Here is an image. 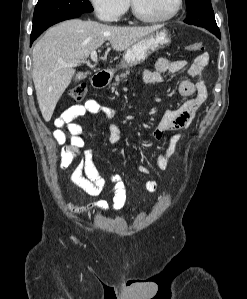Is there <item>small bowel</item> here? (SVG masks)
<instances>
[{"instance_id": "1", "label": "small bowel", "mask_w": 247, "mask_h": 299, "mask_svg": "<svg viewBox=\"0 0 247 299\" xmlns=\"http://www.w3.org/2000/svg\"><path fill=\"white\" fill-rule=\"evenodd\" d=\"M208 62V53L202 52L188 66V75L195 78L196 81L182 80L179 83L178 91L182 96L190 98L179 107L168 109L164 112L153 133L157 139H161L168 131L188 128L194 120L197 111L207 99V88L203 79V71ZM187 65L188 63L185 60L169 61L160 59L153 70H145L143 72V82L150 85L160 83L165 73H177L186 68ZM87 113L102 114L105 118L112 120L113 123L108 140L113 145L121 142V127L115 121L116 113L114 109L102 105L94 99H88L82 104L72 105L54 121L53 138L62 146L59 167L66 169L76 158L80 157V161L70 175L71 182L89 196H98L104 191L112 193V204L109 205L105 201H100L91 206L77 207L71 205L70 207L78 215H90L94 211L106 212L109 209L119 211L125 206L127 201V193L120 175L113 174L111 176L112 186L107 188L105 179L95 165L93 151L84 149L83 128L75 120ZM179 139L180 136L178 134H174L170 138L166 148L155 159L152 168L156 170H164L166 168L167 159L174 152ZM68 140L69 142L67 143ZM152 168L139 166L138 171L148 175ZM145 187L149 192H155L157 184L155 181L149 180L146 182Z\"/></svg>"}]
</instances>
